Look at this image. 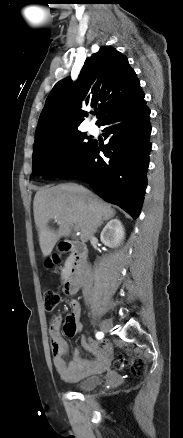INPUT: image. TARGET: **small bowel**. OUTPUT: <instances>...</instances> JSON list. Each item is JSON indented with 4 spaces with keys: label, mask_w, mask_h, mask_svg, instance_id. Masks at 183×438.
Here are the masks:
<instances>
[{
    "label": "small bowel",
    "mask_w": 183,
    "mask_h": 438,
    "mask_svg": "<svg viewBox=\"0 0 183 438\" xmlns=\"http://www.w3.org/2000/svg\"><path fill=\"white\" fill-rule=\"evenodd\" d=\"M81 307L79 302L73 301L70 304V313L66 318V324H73L76 333L81 332L82 324L80 322ZM62 315H55L50 323V338L53 354V365L60 378L67 382L79 381L89 375L98 374L106 369L110 348L106 343L98 344L89 340L85 336L81 338V345L90 353L96 356V361L92 362L83 357L79 350H75L72 360L67 364L65 355L68 351V344L62 337L60 328L62 324Z\"/></svg>",
    "instance_id": "obj_1"
}]
</instances>
